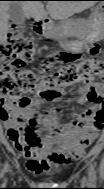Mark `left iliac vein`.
<instances>
[{
	"mask_svg": "<svg viewBox=\"0 0 104 189\" xmlns=\"http://www.w3.org/2000/svg\"><path fill=\"white\" fill-rule=\"evenodd\" d=\"M82 182H83V184H86V185L92 184V182L90 181V179L87 176L83 177Z\"/></svg>",
	"mask_w": 104,
	"mask_h": 189,
	"instance_id": "left-iliac-vein-1",
	"label": "left iliac vein"
}]
</instances>
